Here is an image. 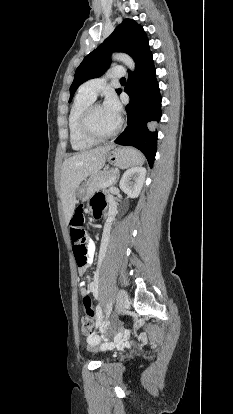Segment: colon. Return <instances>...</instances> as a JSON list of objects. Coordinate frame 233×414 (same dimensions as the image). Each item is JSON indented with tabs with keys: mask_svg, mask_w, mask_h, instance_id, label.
Returning a JSON list of instances; mask_svg holds the SVG:
<instances>
[{
	"mask_svg": "<svg viewBox=\"0 0 233 414\" xmlns=\"http://www.w3.org/2000/svg\"><path fill=\"white\" fill-rule=\"evenodd\" d=\"M84 216L80 208H78L71 219V241L73 252L78 266H84L87 263V243L88 237L83 229ZM84 315L82 317V331L91 334L96 314L93 310L92 300L88 294L83 297Z\"/></svg>",
	"mask_w": 233,
	"mask_h": 414,
	"instance_id": "colon-1",
	"label": "colon"
}]
</instances>
